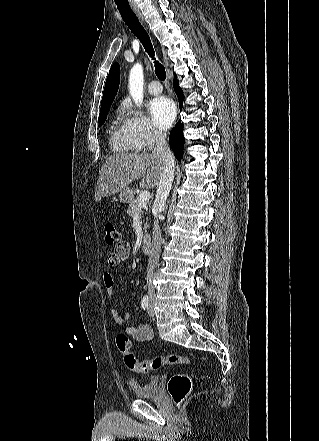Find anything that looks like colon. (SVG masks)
Returning a JSON list of instances; mask_svg holds the SVG:
<instances>
[{"label": "colon", "mask_w": 319, "mask_h": 441, "mask_svg": "<svg viewBox=\"0 0 319 441\" xmlns=\"http://www.w3.org/2000/svg\"><path fill=\"white\" fill-rule=\"evenodd\" d=\"M104 239L107 245L118 244L121 235L113 223H106L104 226ZM116 345L123 355L127 368L137 373H149L156 371L165 365H190L191 359L179 354L156 356L151 359L138 360L130 351L131 342L127 335L119 333L116 336ZM168 392L177 405H181L192 390L191 378L184 373L174 374L167 384Z\"/></svg>", "instance_id": "colon-1"}]
</instances>
